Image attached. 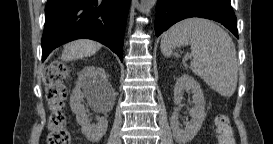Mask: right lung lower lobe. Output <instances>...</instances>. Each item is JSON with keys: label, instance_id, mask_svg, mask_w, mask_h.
I'll list each match as a JSON object with an SVG mask.
<instances>
[{"label": "right lung lower lobe", "instance_id": "obj_1", "mask_svg": "<svg viewBox=\"0 0 273 144\" xmlns=\"http://www.w3.org/2000/svg\"><path fill=\"white\" fill-rule=\"evenodd\" d=\"M131 0H48L42 36V61L69 41L101 42L123 60L125 25Z\"/></svg>", "mask_w": 273, "mask_h": 144}]
</instances>
